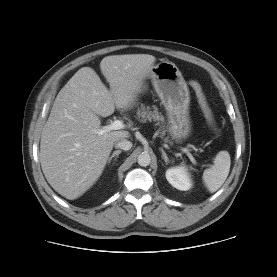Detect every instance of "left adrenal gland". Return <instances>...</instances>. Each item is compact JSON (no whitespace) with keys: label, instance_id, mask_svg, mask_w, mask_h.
<instances>
[{"label":"left adrenal gland","instance_id":"1","mask_svg":"<svg viewBox=\"0 0 277 277\" xmlns=\"http://www.w3.org/2000/svg\"><path fill=\"white\" fill-rule=\"evenodd\" d=\"M160 151L162 152V157L166 163V165L170 162L169 158L167 157L165 151L163 150V148H160Z\"/></svg>","mask_w":277,"mask_h":277}]
</instances>
